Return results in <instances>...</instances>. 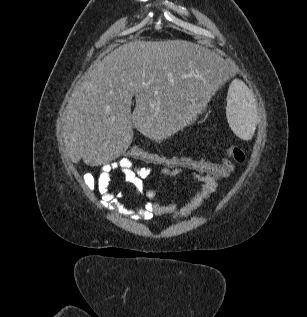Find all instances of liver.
Returning <instances> with one entry per match:
<instances>
[{
  "label": "liver",
  "mask_w": 307,
  "mask_h": 317,
  "mask_svg": "<svg viewBox=\"0 0 307 317\" xmlns=\"http://www.w3.org/2000/svg\"><path fill=\"white\" fill-rule=\"evenodd\" d=\"M229 72L224 55L188 41L126 43L74 90L63 119L65 150L75 164L99 166L125 152L133 126L149 139L167 138L196 117L205 97L212 104L229 88Z\"/></svg>",
  "instance_id": "liver-1"
}]
</instances>
